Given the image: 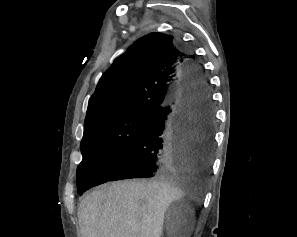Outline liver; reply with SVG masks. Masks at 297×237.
Wrapping results in <instances>:
<instances>
[{
  "mask_svg": "<svg viewBox=\"0 0 297 237\" xmlns=\"http://www.w3.org/2000/svg\"><path fill=\"white\" fill-rule=\"evenodd\" d=\"M186 191L190 179L178 175L103 185L79 204L82 237H161L166 210Z\"/></svg>",
  "mask_w": 297,
  "mask_h": 237,
  "instance_id": "1",
  "label": "liver"
}]
</instances>
